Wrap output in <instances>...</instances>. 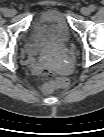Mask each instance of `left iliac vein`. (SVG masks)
<instances>
[{"label":"left iliac vein","mask_w":104,"mask_h":137,"mask_svg":"<svg viewBox=\"0 0 104 137\" xmlns=\"http://www.w3.org/2000/svg\"><path fill=\"white\" fill-rule=\"evenodd\" d=\"M81 13H82L84 16H88V15H90L91 10H90L89 7H83V8L81 9Z\"/></svg>","instance_id":"obj_1"}]
</instances>
